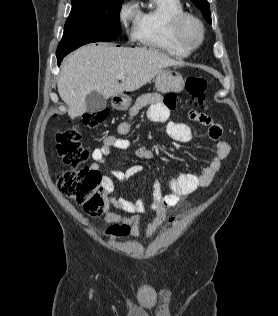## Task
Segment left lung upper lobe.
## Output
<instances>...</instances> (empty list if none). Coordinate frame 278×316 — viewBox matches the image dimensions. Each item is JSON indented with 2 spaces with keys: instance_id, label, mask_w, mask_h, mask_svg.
<instances>
[{
  "instance_id": "5c2ea615",
  "label": "left lung upper lobe",
  "mask_w": 278,
  "mask_h": 316,
  "mask_svg": "<svg viewBox=\"0 0 278 316\" xmlns=\"http://www.w3.org/2000/svg\"><path fill=\"white\" fill-rule=\"evenodd\" d=\"M194 4L201 10L203 16L207 20L208 23L211 22V14H210V7L207 0H192Z\"/></svg>"
}]
</instances>
